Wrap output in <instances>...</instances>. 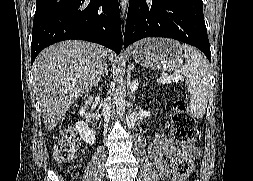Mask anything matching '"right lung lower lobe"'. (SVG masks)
<instances>
[{"instance_id": "right-lung-lower-lobe-1", "label": "right lung lower lobe", "mask_w": 253, "mask_h": 181, "mask_svg": "<svg viewBox=\"0 0 253 181\" xmlns=\"http://www.w3.org/2000/svg\"><path fill=\"white\" fill-rule=\"evenodd\" d=\"M69 39L98 43L119 53L118 0H36L31 64L45 47Z\"/></svg>"}]
</instances>
